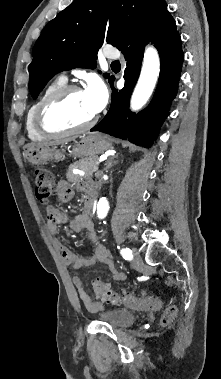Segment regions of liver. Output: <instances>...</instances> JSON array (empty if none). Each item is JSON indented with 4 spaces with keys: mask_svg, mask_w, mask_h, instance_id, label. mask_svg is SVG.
I'll return each instance as SVG.
<instances>
[{
    "mask_svg": "<svg viewBox=\"0 0 221 379\" xmlns=\"http://www.w3.org/2000/svg\"><path fill=\"white\" fill-rule=\"evenodd\" d=\"M74 138H68V139H65V140H60V141H56V142H50V143H43V144H38L39 146H48V145H59V144H64V143H67L71 140H73Z\"/></svg>",
    "mask_w": 221,
    "mask_h": 379,
    "instance_id": "liver-1",
    "label": "liver"
}]
</instances>
